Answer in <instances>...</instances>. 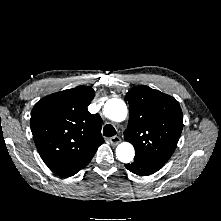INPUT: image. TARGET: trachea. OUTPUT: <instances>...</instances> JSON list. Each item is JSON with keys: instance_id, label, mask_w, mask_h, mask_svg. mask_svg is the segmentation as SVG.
I'll list each match as a JSON object with an SVG mask.
<instances>
[{"instance_id": "1", "label": "trachea", "mask_w": 221, "mask_h": 221, "mask_svg": "<svg viewBox=\"0 0 221 221\" xmlns=\"http://www.w3.org/2000/svg\"><path fill=\"white\" fill-rule=\"evenodd\" d=\"M103 135L106 137H112L116 135V130L111 124H107L103 128Z\"/></svg>"}]
</instances>
